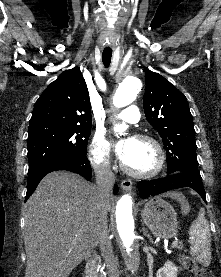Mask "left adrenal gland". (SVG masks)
<instances>
[{
    "instance_id": "left-adrenal-gland-1",
    "label": "left adrenal gland",
    "mask_w": 221,
    "mask_h": 277,
    "mask_svg": "<svg viewBox=\"0 0 221 277\" xmlns=\"http://www.w3.org/2000/svg\"><path fill=\"white\" fill-rule=\"evenodd\" d=\"M142 231H143V234L149 238L150 242H153L152 236L148 234V231L146 230L145 227H143Z\"/></svg>"
}]
</instances>
